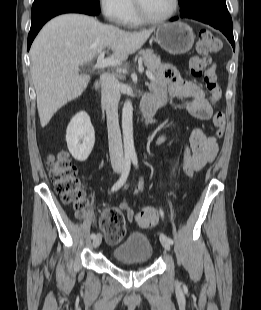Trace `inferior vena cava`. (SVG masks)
I'll list each match as a JSON object with an SVG mask.
<instances>
[{"mask_svg":"<svg viewBox=\"0 0 261 310\" xmlns=\"http://www.w3.org/2000/svg\"><path fill=\"white\" fill-rule=\"evenodd\" d=\"M101 102L107 115L110 160L113 167H122L124 163L122 139L118 122V103L120 100L119 82L115 75L103 73L100 76Z\"/></svg>","mask_w":261,"mask_h":310,"instance_id":"obj_1","label":"inferior vena cava"}]
</instances>
